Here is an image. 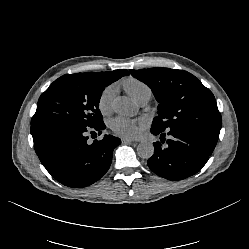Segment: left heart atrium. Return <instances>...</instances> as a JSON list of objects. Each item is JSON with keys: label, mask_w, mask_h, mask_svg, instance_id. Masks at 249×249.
<instances>
[{"label": "left heart atrium", "mask_w": 249, "mask_h": 249, "mask_svg": "<svg viewBox=\"0 0 249 249\" xmlns=\"http://www.w3.org/2000/svg\"><path fill=\"white\" fill-rule=\"evenodd\" d=\"M110 125L113 131L124 136L135 137L140 132L135 120L123 116L112 119Z\"/></svg>", "instance_id": "1"}]
</instances>
